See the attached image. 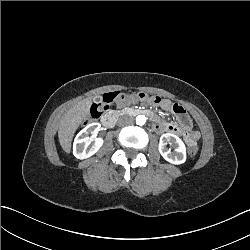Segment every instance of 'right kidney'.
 Returning a JSON list of instances; mask_svg holds the SVG:
<instances>
[{
    "instance_id": "obj_1",
    "label": "right kidney",
    "mask_w": 250,
    "mask_h": 250,
    "mask_svg": "<svg viewBox=\"0 0 250 250\" xmlns=\"http://www.w3.org/2000/svg\"><path fill=\"white\" fill-rule=\"evenodd\" d=\"M100 128V123H90L76 135L73 142V155L76 158H88L102 146L103 140L101 138L88 136L89 133L98 132Z\"/></svg>"
}]
</instances>
